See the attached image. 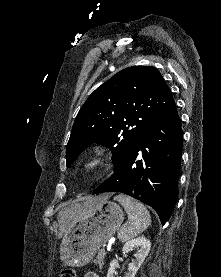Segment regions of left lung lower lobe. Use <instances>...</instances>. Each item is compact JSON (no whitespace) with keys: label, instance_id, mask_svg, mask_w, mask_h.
<instances>
[{"label":"left lung lower lobe","instance_id":"0a47b994","mask_svg":"<svg viewBox=\"0 0 221 277\" xmlns=\"http://www.w3.org/2000/svg\"><path fill=\"white\" fill-rule=\"evenodd\" d=\"M182 129L175 102L128 150L114 174L93 194L121 192L155 209L164 225L177 197Z\"/></svg>","mask_w":221,"mask_h":277}]
</instances>
